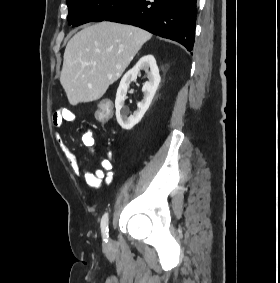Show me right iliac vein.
<instances>
[{
	"mask_svg": "<svg viewBox=\"0 0 280 283\" xmlns=\"http://www.w3.org/2000/svg\"><path fill=\"white\" fill-rule=\"evenodd\" d=\"M109 246V243L108 244H106V247H108Z\"/></svg>",
	"mask_w": 280,
	"mask_h": 283,
	"instance_id": "obj_1",
	"label": "right iliac vein"
}]
</instances>
